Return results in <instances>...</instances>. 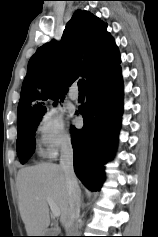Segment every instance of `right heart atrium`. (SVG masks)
Returning <instances> with one entry per match:
<instances>
[{
  "instance_id": "d8ad5b80",
  "label": "right heart atrium",
  "mask_w": 158,
  "mask_h": 237,
  "mask_svg": "<svg viewBox=\"0 0 158 237\" xmlns=\"http://www.w3.org/2000/svg\"><path fill=\"white\" fill-rule=\"evenodd\" d=\"M38 150L44 157H54L71 143L63 115L54 108H46L37 124Z\"/></svg>"
}]
</instances>
